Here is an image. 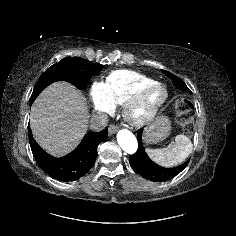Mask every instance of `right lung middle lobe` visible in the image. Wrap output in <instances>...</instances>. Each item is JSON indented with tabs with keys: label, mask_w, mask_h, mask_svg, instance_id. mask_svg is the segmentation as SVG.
Listing matches in <instances>:
<instances>
[{
	"label": "right lung middle lobe",
	"mask_w": 236,
	"mask_h": 236,
	"mask_svg": "<svg viewBox=\"0 0 236 236\" xmlns=\"http://www.w3.org/2000/svg\"><path fill=\"white\" fill-rule=\"evenodd\" d=\"M103 68L101 64L79 57H66L60 62L52 65L45 71L37 81L30 97V104L51 83L56 81H67L77 88L85 89L91 77L99 73Z\"/></svg>",
	"instance_id": "obj_1"
}]
</instances>
